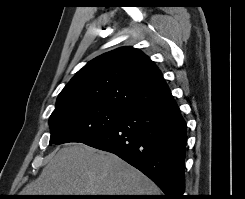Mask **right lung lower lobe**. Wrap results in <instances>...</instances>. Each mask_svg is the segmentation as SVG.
Masks as SVG:
<instances>
[{"label":"right lung lower lobe","instance_id":"98d812e1","mask_svg":"<svg viewBox=\"0 0 245 199\" xmlns=\"http://www.w3.org/2000/svg\"><path fill=\"white\" fill-rule=\"evenodd\" d=\"M83 143L139 169L164 192V199L183 198L186 123L172 95L130 111L118 124Z\"/></svg>","mask_w":245,"mask_h":199}]
</instances>
